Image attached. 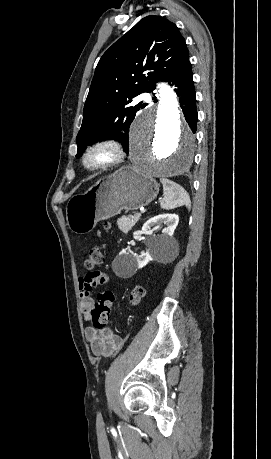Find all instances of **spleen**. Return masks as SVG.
<instances>
[{"label":"spleen","mask_w":271,"mask_h":459,"mask_svg":"<svg viewBox=\"0 0 271 459\" xmlns=\"http://www.w3.org/2000/svg\"><path fill=\"white\" fill-rule=\"evenodd\" d=\"M160 182L163 184L164 190V198L160 202L161 208H164V210H173V208H178V206H187V208H190V198H187V200L179 198L177 192V188H179L178 184L167 180V178H160Z\"/></svg>","instance_id":"spleen-1"}]
</instances>
